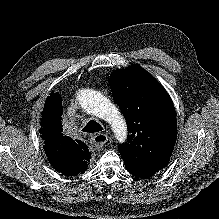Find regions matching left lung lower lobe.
<instances>
[{
	"label": "left lung lower lobe",
	"instance_id": "0a47b994",
	"mask_svg": "<svg viewBox=\"0 0 219 219\" xmlns=\"http://www.w3.org/2000/svg\"><path fill=\"white\" fill-rule=\"evenodd\" d=\"M126 169L129 173L134 175L135 177H139L141 179H148L152 177L156 172L161 170V167H152V166H144V167H131L126 166Z\"/></svg>",
	"mask_w": 219,
	"mask_h": 219
}]
</instances>
